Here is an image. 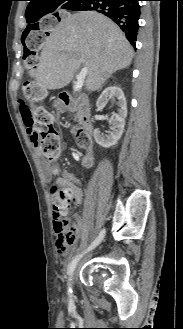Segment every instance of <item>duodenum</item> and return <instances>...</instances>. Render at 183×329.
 <instances>
[{"instance_id": "obj_1", "label": "duodenum", "mask_w": 183, "mask_h": 329, "mask_svg": "<svg viewBox=\"0 0 183 329\" xmlns=\"http://www.w3.org/2000/svg\"><path fill=\"white\" fill-rule=\"evenodd\" d=\"M58 101L63 106L73 108L77 111L81 126L86 136L90 138L92 136L91 106L87 97L82 94L72 95L68 92H61L58 95ZM84 148H88V144L84 145Z\"/></svg>"}]
</instances>
